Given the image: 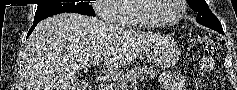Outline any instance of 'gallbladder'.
I'll return each instance as SVG.
<instances>
[{
  "label": "gallbladder",
  "mask_w": 237,
  "mask_h": 90,
  "mask_svg": "<svg viewBox=\"0 0 237 90\" xmlns=\"http://www.w3.org/2000/svg\"><path fill=\"white\" fill-rule=\"evenodd\" d=\"M82 90H85V88H83V86H82Z\"/></svg>",
  "instance_id": "gallbladder-1"
}]
</instances>
